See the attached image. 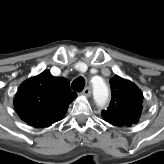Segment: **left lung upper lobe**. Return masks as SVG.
<instances>
[{
	"mask_svg": "<svg viewBox=\"0 0 164 164\" xmlns=\"http://www.w3.org/2000/svg\"><path fill=\"white\" fill-rule=\"evenodd\" d=\"M110 85L112 99L109 107L101 112L103 119L118 126L137 123L142 111V92L135 84L117 75Z\"/></svg>",
	"mask_w": 164,
	"mask_h": 164,
	"instance_id": "left-lung-upper-lobe-1",
	"label": "left lung upper lobe"
}]
</instances>
